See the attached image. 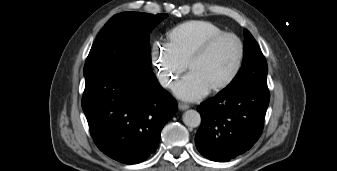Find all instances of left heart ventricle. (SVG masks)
<instances>
[{
  "label": "left heart ventricle",
  "mask_w": 337,
  "mask_h": 171,
  "mask_svg": "<svg viewBox=\"0 0 337 171\" xmlns=\"http://www.w3.org/2000/svg\"><path fill=\"white\" fill-rule=\"evenodd\" d=\"M237 56L236 41L231 38L223 39L196 61L190 72L195 73L207 86L212 87L227 78L236 63Z\"/></svg>",
  "instance_id": "1"
}]
</instances>
